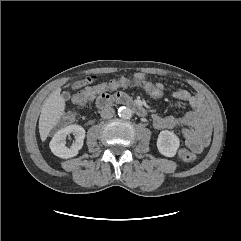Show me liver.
Wrapping results in <instances>:
<instances>
[{
    "label": "liver",
    "mask_w": 241,
    "mask_h": 241,
    "mask_svg": "<svg viewBox=\"0 0 241 241\" xmlns=\"http://www.w3.org/2000/svg\"><path fill=\"white\" fill-rule=\"evenodd\" d=\"M60 92V88L56 89L43 103L39 118V133L42 141L47 139L50 131L58 124L63 115L65 100Z\"/></svg>",
    "instance_id": "6515ba94"
}]
</instances>
